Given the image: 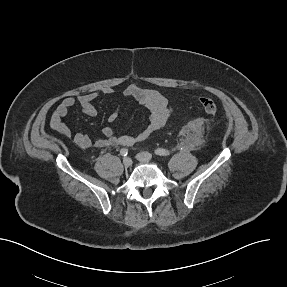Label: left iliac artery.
I'll list each match as a JSON object with an SVG mask.
<instances>
[{"label": "left iliac artery", "instance_id": "left-iliac-artery-1", "mask_svg": "<svg viewBox=\"0 0 287 287\" xmlns=\"http://www.w3.org/2000/svg\"><path fill=\"white\" fill-rule=\"evenodd\" d=\"M154 153L156 155H159V156H169L170 155V152L168 150H166V149H163V148L156 149Z\"/></svg>", "mask_w": 287, "mask_h": 287}]
</instances>
